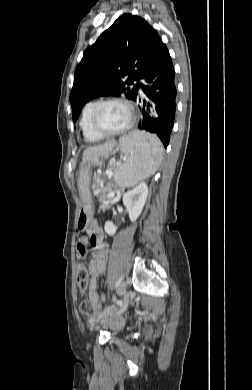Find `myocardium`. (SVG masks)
Segmentation results:
<instances>
[{"label": "myocardium", "instance_id": "obj_1", "mask_svg": "<svg viewBox=\"0 0 252 390\" xmlns=\"http://www.w3.org/2000/svg\"><path fill=\"white\" fill-rule=\"evenodd\" d=\"M108 103H120V104L125 105L128 108V110L130 112V119L124 127L120 128L118 130H114V131H107V130H104L102 127H100V125L97 121V115H98L100 108L104 104H108ZM136 118H137V115H136L135 108L130 101L123 99V98L111 97V98L102 99V100L97 101L95 103V105L91 111L90 121H91V125H92L93 129L96 132H98L100 135L105 136V137H113V136L122 135V134H125L126 132H128L134 126V124L136 122Z\"/></svg>", "mask_w": 252, "mask_h": 390}]
</instances>
